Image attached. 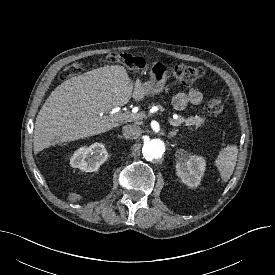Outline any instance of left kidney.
I'll return each instance as SVG.
<instances>
[{
  "label": "left kidney",
  "mask_w": 275,
  "mask_h": 275,
  "mask_svg": "<svg viewBox=\"0 0 275 275\" xmlns=\"http://www.w3.org/2000/svg\"><path fill=\"white\" fill-rule=\"evenodd\" d=\"M176 161L177 175L182 182L190 187H197L205 171V159L180 149L176 153Z\"/></svg>",
  "instance_id": "left-kidney-1"
}]
</instances>
